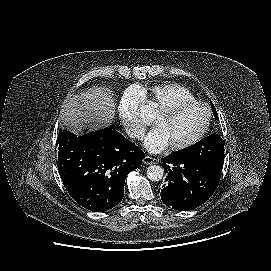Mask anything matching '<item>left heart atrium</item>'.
Listing matches in <instances>:
<instances>
[{"instance_id":"39dd6f15","label":"left heart atrium","mask_w":271,"mask_h":271,"mask_svg":"<svg viewBox=\"0 0 271 271\" xmlns=\"http://www.w3.org/2000/svg\"><path fill=\"white\" fill-rule=\"evenodd\" d=\"M144 147L150 153H159L169 147L168 140L159 127L153 128L144 139Z\"/></svg>"}]
</instances>
